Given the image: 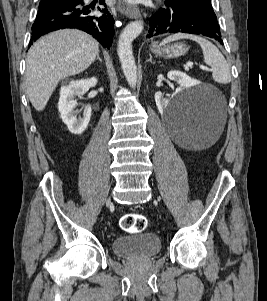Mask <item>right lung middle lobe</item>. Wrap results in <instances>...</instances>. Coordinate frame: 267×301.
<instances>
[{
    "label": "right lung middle lobe",
    "instance_id": "obj_1",
    "mask_svg": "<svg viewBox=\"0 0 267 301\" xmlns=\"http://www.w3.org/2000/svg\"><path fill=\"white\" fill-rule=\"evenodd\" d=\"M64 1H55V0H41L40 4H39V11L47 9V8H51L55 5H58L60 3H62Z\"/></svg>",
    "mask_w": 267,
    "mask_h": 301
}]
</instances>
